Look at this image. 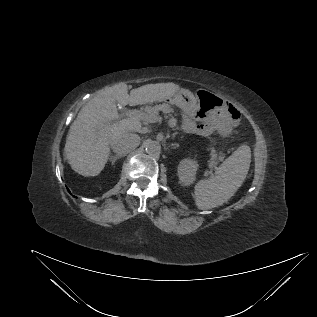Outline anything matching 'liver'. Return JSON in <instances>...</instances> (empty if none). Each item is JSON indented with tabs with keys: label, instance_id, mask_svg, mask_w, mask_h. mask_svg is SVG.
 I'll return each mask as SVG.
<instances>
[{
	"label": "liver",
	"instance_id": "1",
	"mask_svg": "<svg viewBox=\"0 0 317 317\" xmlns=\"http://www.w3.org/2000/svg\"><path fill=\"white\" fill-rule=\"evenodd\" d=\"M180 90L172 82L147 84L128 93L119 83L105 89L84 105L71 124L64 154L71 168L83 176H97L110 155V145L127 134H133L141 122L132 118L118 120L116 102L122 105H145L173 97Z\"/></svg>",
	"mask_w": 317,
	"mask_h": 317
}]
</instances>
